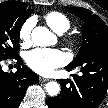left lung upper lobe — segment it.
Returning <instances> with one entry per match:
<instances>
[{"instance_id": "left-lung-upper-lobe-1", "label": "left lung upper lobe", "mask_w": 108, "mask_h": 108, "mask_svg": "<svg viewBox=\"0 0 108 108\" xmlns=\"http://www.w3.org/2000/svg\"><path fill=\"white\" fill-rule=\"evenodd\" d=\"M67 10L84 20L82 26L83 42L75 59L68 65L72 67L87 63L96 65L108 64V27L103 20L92 11L83 7H71ZM77 91L68 94L74 99Z\"/></svg>"}]
</instances>
